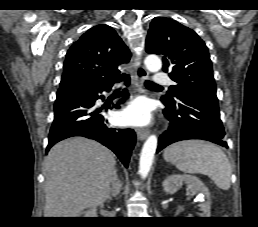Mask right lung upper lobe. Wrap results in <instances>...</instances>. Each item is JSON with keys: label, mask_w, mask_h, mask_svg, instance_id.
<instances>
[{"label": "right lung upper lobe", "mask_w": 258, "mask_h": 227, "mask_svg": "<svg viewBox=\"0 0 258 227\" xmlns=\"http://www.w3.org/2000/svg\"><path fill=\"white\" fill-rule=\"evenodd\" d=\"M130 56L129 49L111 27L94 26L68 50L58 92L84 82H113L122 76L118 65L127 63Z\"/></svg>", "instance_id": "cb5924a9"}]
</instances>
